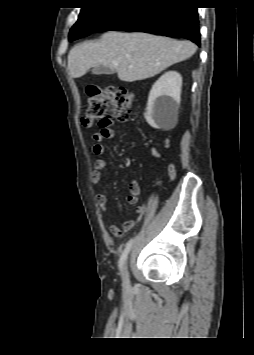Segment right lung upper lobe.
I'll list each match as a JSON object with an SVG mask.
<instances>
[{
  "mask_svg": "<svg viewBox=\"0 0 254 355\" xmlns=\"http://www.w3.org/2000/svg\"><path fill=\"white\" fill-rule=\"evenodd\" d=\"M89 2H93V1H97V0H88ZM115 1H118V2H121V3H126L130 0H115Z\"/></svg>",
  "mask_w": 254,
  "mask_h": 355,
  "instance_id": "cb5924a9",
  "label": "right lung upper lobe"
}]
</instances>
